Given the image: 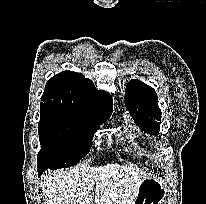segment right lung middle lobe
Listing matches in <instances>:
<instances>
[{
	"label": "right lung middle lobe",
	"instance_id": "dd1d6c3e",
	"mask_svg": "<svg viewBox=\"0 0 206 204\" xmlns=\"http://www.w3.org/2000/svg\"><path fill=\"white\" fill-rule=\"evenodd\" d=\"M40 112L38 132L41 151L37 165L45 170L78 163L89 153L93 134L108 119L54 108H40Z\"/></svg>",
	"mask_w": 206,
	"mask_h": 204
}]
</instances>
